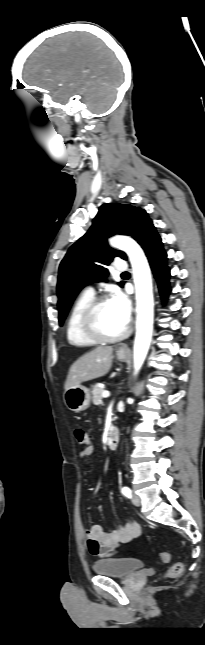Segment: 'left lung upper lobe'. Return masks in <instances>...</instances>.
Instances as JSON below:
<instances>
[{"label":"left lung upper lobe","instance_id":"5c2ea615","mask_svg":"<svg viewBox=\"0 0 205 645\" xmlns=\"http://www.w3.org/2000/svg\"><path fill=\"white\" fill-rule=\"evenodd\" d=\"M153 226L148 213L129 204H103L88 232L75 242L59 266L57 283L59 325L68 314L80 290L108 275L104 265L114 257L126 259V254L108 246L106 239L115 234L129 235L138 243ZM124 282H120L122 287Z\"/></svg>","mask_w":205,"mask_h":645}]
</instances>
